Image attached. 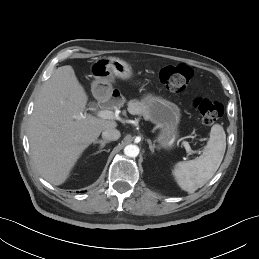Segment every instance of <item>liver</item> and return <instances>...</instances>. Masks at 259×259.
I'll use <instances>...</instances> for the list:
<instances>
[{
  "label": "liver",
  "instance_id": "6515ba94",
  "mask_svg": "<svg viewBox=\"0 0 259 259\" xmlns=\"http://www.w3.org/2000/svg\"><path fill=\"white\" fill-rule=\"evenodd\" d=\"M88 96L70 65L57 68L44 83L30 118L28 137L33 163L41 176L61 185L84 150L113 120L83 114Z\"/></svg>",
  "mask_w": 259,
  "mask_h": 259
}]
</instances>
